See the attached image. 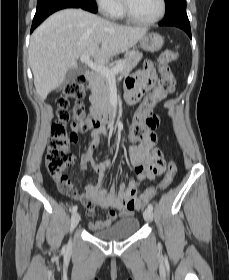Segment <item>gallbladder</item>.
<instances>
[{
  "label": "gallbladder",
  "instance_id": "gallbladder-1",
  "mask_svg": "<svg viewBox=\"0 0 229 280\" xmlns=\"http://www.w3.org/2000/svg\"><path fill=\"white\" fill-rule=\"evenodd\" d=\"M82 74V70L79 68H70L65 76L64 82L60 86V88H63L66 84L72 82Z\"/></svg>",
  "mask_w": 229,
  "mask_h": 280
}]
</instances>
